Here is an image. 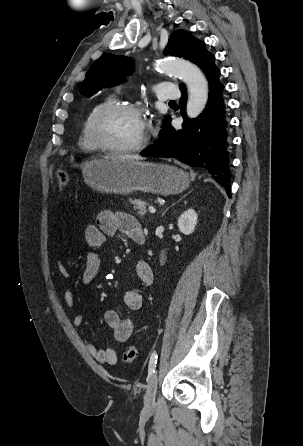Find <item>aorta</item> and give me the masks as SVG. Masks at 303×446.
Here are the masks:
<instances>
[{"label": "aorta", "mask_w": 303, "mask_h": 446, "mask_svg": "<svg viewBox=\"0 0 303 446\" xmlns=\"http://www.w3.org/2000/svg\"><path fill=\"white\" fill-rule=\"evenodd\" d=\"M160 71L178 76L189 92L186 113L189 118H196L205 108L208 99V84L200 69L187 61L168 60L156 64Z\"/></svg>", "instance_id": "obj_1"}]
</instances>
